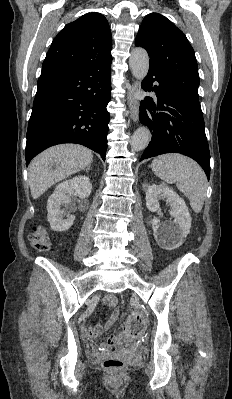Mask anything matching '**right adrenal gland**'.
Wrapping results in <instances>:
<instances>
[{"mask_svg":"<svg viewBox=\"0 0 232 399\" xmlns=\"http://www.w3.org/2000/svg\"><path fill=\"white\" fill-rule=\"evenodd\" d=\"M90 166H91V164H88V166H86V168H84V172H89Z\"/></svg>","mask_w":232,"mask_h":399,"instance_id":"right-adrenal-gland-1","label":"right adrenal gland"}]
</instances>
